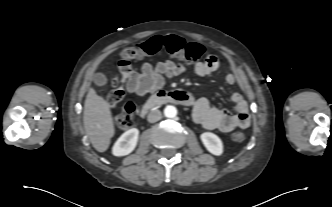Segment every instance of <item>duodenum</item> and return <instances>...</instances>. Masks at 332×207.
Returning a JSON list of instances; mask_svg holds the SVG:
<instances>
[{
  "label": "duodenum",
  "instance_id": "1",
  "mask_svg": "<svg viewBox=\"0 0 332 207\" xmlns=\"http://www.w3.org/2000/svg\"><path fill=\"white\" fill-rule=\"evenodd\" d=\"M167 103L183 106H192L194 98L184 90L159 91L153 95L141 108V116H146L151 110Z\"/></svg>",
  "mask_w": 332,
  "mask_h": 207
}]
</instances>
